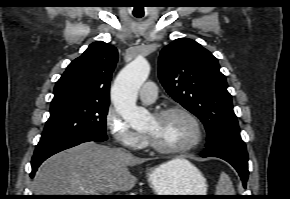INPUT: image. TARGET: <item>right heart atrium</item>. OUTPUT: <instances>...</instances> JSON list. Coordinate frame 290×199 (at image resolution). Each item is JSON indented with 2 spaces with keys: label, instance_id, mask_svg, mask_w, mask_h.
Masks as SVG:
<instances>
[{
  "label": "right heart atrium",
  "instance_id": "obj_1",
  "mask_svg": "<svg viewBox=\"0 0 290 199\" xmlns=\"http://www.w3.org/2000/svg\"><path fill=\"white\" fill-rule=\"evenodd\" d=\"M105 120L107 128L118 144L131 150H138L144 146L145 136L132 129L115 109L110 108L107 111Z\"/></svg>",
  "mask_w": 290,
  "mask_h": 199
}]
</instances>
